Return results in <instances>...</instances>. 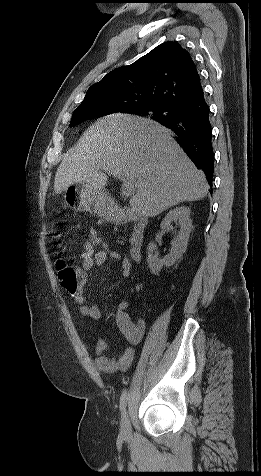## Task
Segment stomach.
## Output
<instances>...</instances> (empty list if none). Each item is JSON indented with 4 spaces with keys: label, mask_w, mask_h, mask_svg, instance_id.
I'll use <instances>...</instances> for the list:
<instances>
[{
    "label": "stomach",
    "mask_w": 261,
    "mask_h": 476,
    "mask_svg": "<svg viewBox=\"0 0 261 476\" xmlns=\"http://www.w3.org/2000/svg\"><path fill=\"white\" fill-rule=\"evenodd\" d=\"M68 207L81 212H90L107 220L115 219L113 200L102 189H96L86 183H76L64 190Z\"/></svg>",
    "instance_id": "obj_1"
}]
</instances>
